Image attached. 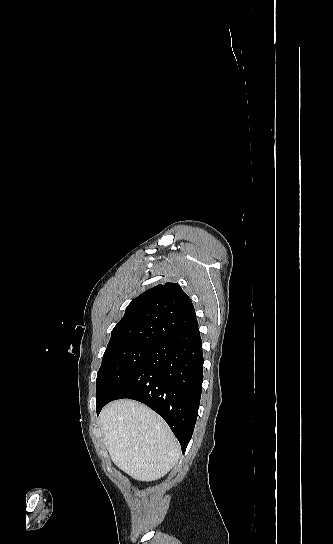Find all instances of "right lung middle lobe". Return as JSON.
Listing matches in <instances>:
<instances>
[{
  "instance_id": "obj_1",
  "label": "right lung middle lobe",
  "mask_w": 333,
  "mask_h": 544,
  "mask_svg": "<svg viewBox=\"0 0 333 544\" xmlns=\"http://www.w3.org/2000/svg\"><path fill=\"white\" fill-rule=\"evenodd\" d=\"M151 344H135L106 350L98 371L96 406L108 402L145 362Z\"/></svg>"
}]
</instances>
